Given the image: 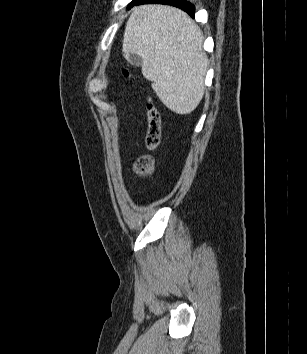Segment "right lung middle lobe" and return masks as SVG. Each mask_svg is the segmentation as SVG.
I'll return each instance as SVG.
<instances>
[{"label": "right lung middle lobe", "mask_w": 307, "mask_h": 354, "mask_svg": "<svg viewBox=\"0 0 307 354\" xmlns=\"http://www.w3.org/2000/svg\"><path fill=\"white\" fill-rule=\"evenodd\" d=\"M136 2H137V0H133V1L130 3L129 7H132Z\"/></svg>", "instance_id": "1"}]
</instances>
